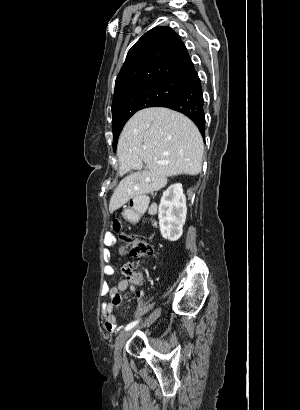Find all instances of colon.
Segmentation results:
<instances>
[{"label": "colon", "mask_w": 300, "mask_h": 410, "mask_svg": "<svg viewBox=\"0 0 300 410\" xmlns=\"http://www.w3.org/2000/svg\"><path fill=\"white\" fill-rule=\"evenodd\" d=\"M120 238L129 246V256L134 260L144 258L151 253V245L142 235L121 233ZM135 270L134 264H128L124 267V273L128 276H134Z\"/></svg>", "instance_id": "5ec220e1"}]
</instances>
